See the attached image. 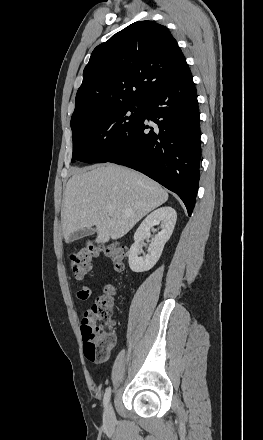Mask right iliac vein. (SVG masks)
Wrapping results in <instances>:
<instances>
[{
  "label": "right iliac vein",
  "mask_w": 263,
  "mask_h": 440,
  "mask_svg": "<svg viewBox=\"0 0 263 440\" xmlns=\"http://www.w3.org/2000/svg\"><path fill=\"white\" fill-rule=\"evenodd\" d=\"M103 422L107 428H111L115 425V414L111 404H108L105 408Z\"/></svg>",
  "instance_id": "right-iliac-vein-1"
}]
</instances>
